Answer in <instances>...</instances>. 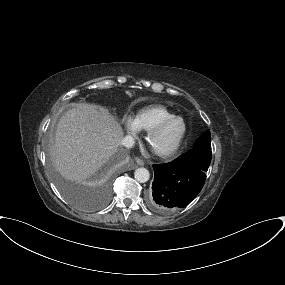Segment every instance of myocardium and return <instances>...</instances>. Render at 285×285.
I'll return each mask as SVG.
<instances>
[{
  "label": "myocardium",
  "instance_id": "f54148a6",
  "mask_svg": "<svg viewBox=\"0 0 285 285\" xmlns=\"http://www.w3.org/2000/svg\"><path fill=\"white\" fill-rule=\"evenodd\" d=\"M176 120H180L182 122L183 129H182L181 133L179 134V136L177 137V139L175 140V142L171 146H169L165 149L153 148L151 143H152L154 136L157 135L159 132H161L171 122L176 121ZM186 131H187V125H186L185 120L181 116L174 115V116L163 119L158 124H156L153 128H151L149 131H147L146 136H145V141H146L147 146L150 148V150L152 151V153L154 155H156L160 158H169L180 147V145L184 139V136L186 134Z\"/></svg>",
  "mask_w": 285,
  "mask_h": 285
}]
</instances>
